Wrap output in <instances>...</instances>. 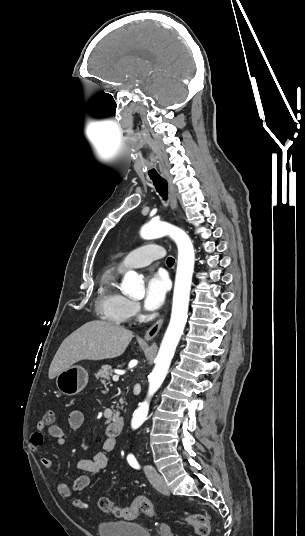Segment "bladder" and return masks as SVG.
I'll list each match as a JSON object with an SVG mask.
<instances>
[{
  "mask_svg": "<svg viewBox=\"0 0 305 536\" xmlns=\"http://www.w3.org/2000/svg\"><path fill=\"white\" fill-rule=\"evenodd\" d=\"M96 532L98 536H153L150 530L134 520H121L97 523Z\"/></svg>",
  "mask_w": 305,
  "mask_h": 536,
  "instance_id": "obj_1",
  "label": "bladder"
}]
</instances>
